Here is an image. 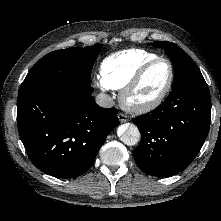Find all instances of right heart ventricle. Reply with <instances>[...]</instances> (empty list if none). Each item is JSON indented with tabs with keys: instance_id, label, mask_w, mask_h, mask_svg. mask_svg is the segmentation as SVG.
Instances as JSON below:
<instances>
[{
	"instance_id": "1",
	"label": "right heart ventricle",
	"mask_w": 221,
	"mask_h": 221,
	"mask_svg": "<svg viewBox=\"0 0 221 221\" xmlns=\"http://www.w3.org/2000/svg\"><path fill=\"white\" fill-rule=\"evenodd\" d=\"M159 57L143 49H129L107 56L100 65V75L108 88L121 90L148 61Z\"/></svg>"
}]
</instances>
